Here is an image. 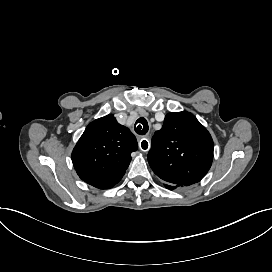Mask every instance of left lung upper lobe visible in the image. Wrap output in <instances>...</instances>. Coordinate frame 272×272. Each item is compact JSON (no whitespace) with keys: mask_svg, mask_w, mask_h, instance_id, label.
Instances as JSON below:
<instances>
[{"mask_svg":"<svg viewBox=\"0 0 272 272\" xmlns=\"http://www.w3.org/2000/svg\"><path fill=\"white\" fill-rule=\"evenodd\" d=\"M213 149L210 133L193 114L168 113L152 138L148 162L164 183L183 187L205 176L212 164Z\"/></svg>","mask_w":272,"mask_h":272,"instance_id":"5c2ea615","label":"left lung upper lobe"}]
</instances>
